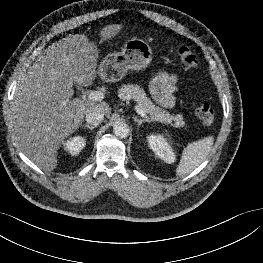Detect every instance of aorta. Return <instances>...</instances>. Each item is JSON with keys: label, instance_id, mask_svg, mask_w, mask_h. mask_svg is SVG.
<instances>
[{"label": "aorta", "instance_id": "762f6f07", "mask_svg": "<svg viewBox=\"0 0 263 263\" xmlns=\"http://www.w3.org/2000/svg\"><path fill=\"white\" fill-rule=\"evenodd\" d=\"M113 132L119 138H125L129 134V127L123 122H115L113 125Z\"/></svg>", "mask_w": 263, "mask_h": 263}]
</instances>
